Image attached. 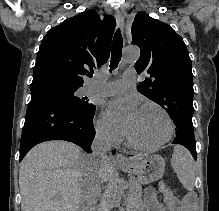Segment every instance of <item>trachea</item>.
Listing matches in <instances>:
<instances>
[{
  "mask_svg": "<svg viewBox=\"0 0 219 211\" xmlns=\"http://www.w3.org/2000/svg\"><path fill=\"white\" fill-rule=\"evenodd\" d=\"M122 48H123V39L120 32V29H118L115 32V35L113 37V43H112V49H111V62H110V72L111 70H114L117 68L121 55H122ZM90 77L93 76V72L89 74Z\"/></svg>",
  "mask_w": 219,
  "mask_h": 211,
  "instance_id": "trachea-1",
  "label": "trachea"
}]
</instances>
